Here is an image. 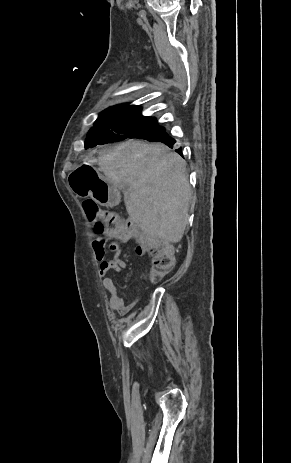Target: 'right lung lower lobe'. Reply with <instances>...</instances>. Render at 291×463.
<instances>
[{
  "label": "right lung lower lobe",
  "mask_w": 291,
  "mask_h": 463,
  "mask_svg": "<svg viewBox=\"0 0 291 463\" xmlns=\"http://www.w3.org/2000/svg\"><path fill=\"white\" fill-rule=\"evenodd\" d=\"M146 140L151 141V142H162V143L166 144L167 146H169L170 148H173V146H174V144L176 142L172 137H170L165 132V130L163 132H161V133L156 134L153 137L147 138ZM176 152L182 156V149L181 148L177 149Z\"/></svg>",
  "instance_id": "98d812e1"
}]
</instances>
